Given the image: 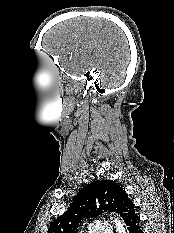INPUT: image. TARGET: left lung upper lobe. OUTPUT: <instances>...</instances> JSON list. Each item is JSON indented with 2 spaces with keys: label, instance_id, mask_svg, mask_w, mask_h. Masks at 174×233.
Listing matches in <instances>:
<instances>
[{
  "label": "left lung upper lobe",
  "instance_id": "1",
  "mask_svg": "<svg viewBox=\"0 0 174 233\" xmlns=\"http://www.w3.org/2000/svg\"><path fill=\"white\" fill-rule=\"evenodd\" d=\"M107 211L117 212L125 221L135 212V206L114 181L92 182L85 185L68 210L51 223L48 233H78L85 218L98 217Z\"/></svg>",
  "mask_w": 174,
  "mask_h": 233
}]
</instances>
